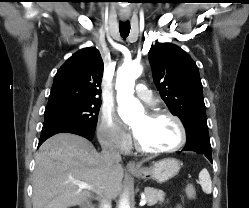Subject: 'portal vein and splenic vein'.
Segmentation results:
<instances>
[{"label":"portal vein and splenic vein","mask_w":249,"mask_h":208,"mask_svg":"<svg viewBox=\"0 0 249 208\" xmlns=\"http://www.w3.org/2000/svg\"><path fill=\"white\" fill-rule=\"evenodd\" d=\"M74 184L78 185L79 188L81 189H91V186L88 185L87 183L85 182H82V181H73ZM146 204V199L143 198L141 201H140V206H144Z\"/></svg>","instance_id":"1"}]
</instances>
